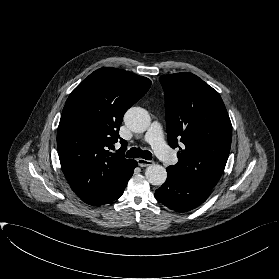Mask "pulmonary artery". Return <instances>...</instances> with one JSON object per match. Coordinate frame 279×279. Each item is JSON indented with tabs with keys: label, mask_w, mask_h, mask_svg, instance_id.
Listing matches in <instances>:
<instances>
[{
	"label": "pulmonary artery",
	"mask_w": 279,
	"mask_h": 279,
	"mask_svg": "<svg viewBox=\"0 0 279 279\" xmlns=\"http://www.w3.org/2000/svg\"><path fill=\"white\" fill-rule=\"evenodd\" d=\"M145 141L152 146L156 155L163 161L173 163L176 160L175 155L163 139L162 127L158 122L155 121L152 123L145 135Z\"/></svg>",
	"instance_id": "pulmonary-artery-1"
}]
</instances>
